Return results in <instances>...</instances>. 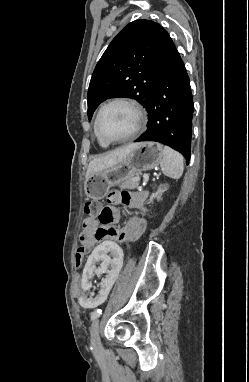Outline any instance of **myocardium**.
Segmentation results:
<instances>
[{"instance_id":"obj_1","label":"myocardium","mask_w":249,"mask_h":382,"mask_svg":"<svg viewBox=\"0 0 249 382\" xmlns=\"http://www.w3.org/2000/svg\"><path fill=\"white\" fill-rule=\"evenodd\" d=\"M114 104H123L132 109V111L135 114V126L133 131L124 137L108 139L102 135L100 131L99 122H100V117L103 111ZM145 124H146V115L143 109L141 108V106L137 102L129 98L117 97V98L109 100L108 102H106L99 108L95 118V131L101 141H103L106 144H114V143L129 141L135 138L138 135V133L145 127Z\"/></svg>"}]
</instances>
